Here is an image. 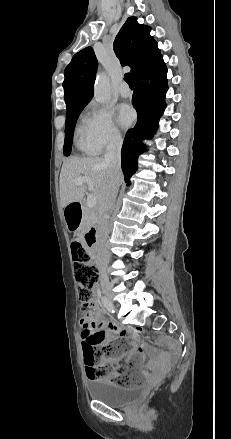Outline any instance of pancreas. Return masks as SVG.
Here are the masks:
<instances>
[{"label": "pancreas", "mask_w": 231, "mask_h": 439, "mask_svg": "<svg viewBox=\"0 0 231 439\" xmlns=\"http://www.w3.org/2000/svg\"><path fill=\"white\" fill-rule=\"evenodd\" d=\"M97 221V216L95 213L91 212L89 208H83V221L81 232L85 231L88 227Z\"/></svg>", "instance_id": "pancreas-1"}]
</instances>
